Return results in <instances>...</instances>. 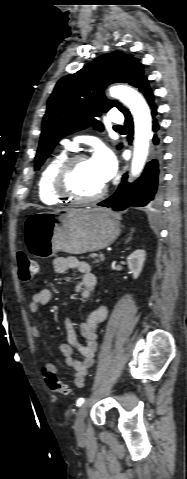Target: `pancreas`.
<instances>
[{
    "instance_id": "obj_1",
    "label": "pancreas",
    "mask_w": 187,
    "mask_h": 479,
    "mask_svg": "<svg viewBox=\"0 0 187 479\" xmlns=\"http://www.w3.org/2000/svg\"><path fill=\"white\" fill-rule=\"evenodd\" d=\"M103 260H104V259H103L102 257H100V256H96V257L94 258V261H93V263H94V264H97V263H100V262H102Z\"/></svg>"
}]
</instances>
